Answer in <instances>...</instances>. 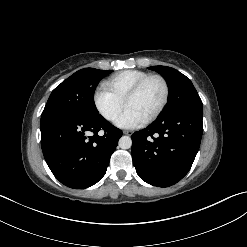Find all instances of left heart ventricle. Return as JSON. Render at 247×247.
<instances>
[{
  "mask_svg": "<svg viewBox=\"0 0 247 247\" xmlns=\"http://www.w3.org/2000/svg\"><path fill=\"white\" fill-rule=\"evenodd\" d=\"M163 96L162 83L158 79H151L136 96L128 101L127 106L133 107L147 118L160 105Z\"/></svg>",
  "mask_w": 247,
  "mask_h": 247,
  "instance_id": "left-heart-ventricle-1",
  "label": "left heart ventricle"
}]
</instances>
